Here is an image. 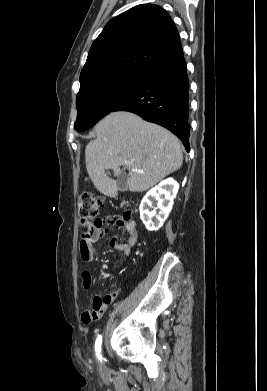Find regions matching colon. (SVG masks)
<instances>
[{
  "label": "colon",
  "mask_w": 267,
  "mask_h": 391,
  "mask_svg": "<svg viewBox=\"0 0 267 391\" xmlns=\"http://www.w3.org/2000/svg\"><path fill=\"white\" fill-rule=\"evenodd\" d=\"M101 198L91 193H83L78 200V216L82 225H87L90 222L98 223L101 220L99 217ZM117 220L120 223H124L129 220V213H125L122 216H117ZM80 248L87 253L89 248V241L85 236H81Z\"/></svg>",
  "instance_id": "obj_1"
}]
</instances>
